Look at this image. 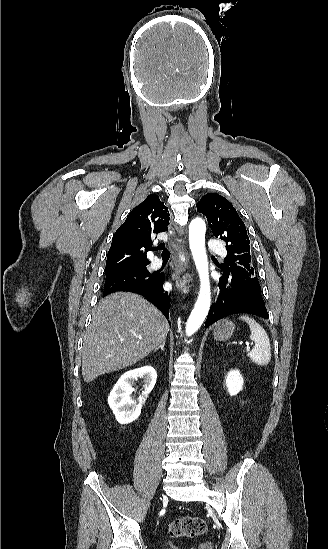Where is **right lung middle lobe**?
<instances>
[{
  "label": "right lung middle lobe",
  "instance_id": "1",
  "mask_svg": "<svg viewBox=\"0 0 328 549\" xmlns=\"http://www.w3.org/2000/svg\"><path fill=\"white\" fill-rule=\"evenodd\" d=\"M157 273H150L146 266L123 269L106 273L104 292H112L128 286L146 285L150 283Z\"/></svg>",
  "mask_w": 328,
  "mask_h": 549
}]
</instances>
